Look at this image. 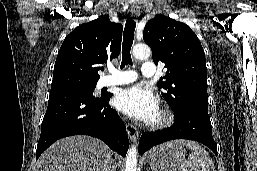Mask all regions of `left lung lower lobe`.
<instances>
[{
    "instance_id": "left-lung-lower-lobe-1",
    "label": "left lung lower lobe",
    "mask_w": 257,
    "mask_h": 171,
    "mask_svg": "<svg viewBox=\"0 0 257 171\" xmlns=\"http://www.w3.org/2000/svg\"><path fill=\"white\" fill-rule=\"evenodd\" d=\"M174 139H189L201 142L217 154V145L212 136L208 111L188 108L175 114L174 124L164 130L144 132L139 141V153L143 154L160 143Z\"/></svg>"
}]
</instances>
